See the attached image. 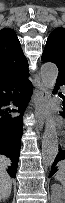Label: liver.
<instances>
[{
  "instance_id": "6515ba94",
  "label": "liver",
  "mask_w": 65,
  "mask_h": 203,
  "mask_svg": "<svg viewBox=\"0 0 65 203\" xmlns=\"http://www.w3.org/2000/svg\"><path fill=\"white\" fill-rule=\"evenodd\" d=\"M11 164V161L6 156H0V199L5 200L11 194L12 180L6 168Z\"/></svg>"
}]
</instances>
